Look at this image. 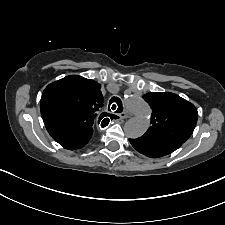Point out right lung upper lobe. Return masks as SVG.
I'll return each mask as SVG.
<instances>
[{
  "label": "right lung upper lobe",
  "instance_id": "right-lung-upper-lobe-1",
  "mask_svg": "<svg viewBox=\"0 0 225 225\" xmlns=\"http://www.w3.org/2000/svg\"><path fill=\"white\" fill-rule=\"evenodd\" d=\"M101 85L78 75L66 76L49 84L43 92L40 110L43 121L78 125L93 130V124L102 117Z\"/></svg>",
  "mask_w": 225,
  "mask_h": 225
}]
</instances>
